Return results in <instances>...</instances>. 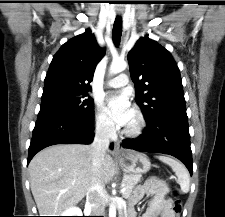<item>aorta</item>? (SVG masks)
Returning <instances> with one entry per match:
<instances>
[{"instance_id": "762f6f07", "label": "aorta", "mask_w": 225, "mask_h": 217, "mask_svg": "<svg viewBox=\"0 0 225 217\" xmlns=\"http://www.w3.org/2000/svg\"><path fill=\"white\" fill-rule=\"evenodd\" d=\"M127 67V63L124 60H113L110 68H109V73L111 75L120 73L124 71ZM110 217H115L116 216V207L115 204L110 205V211H109Z\"/></svg>"}]
</instances>
